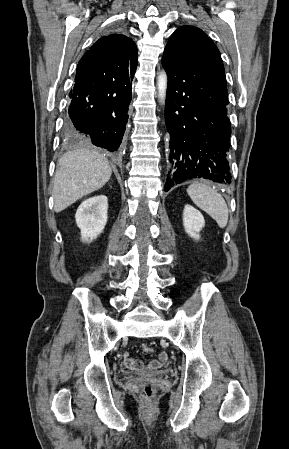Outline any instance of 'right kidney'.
<instances>
[{"instance_id": "1", "label": "right kidney", "mask_w": 289, "mask_h": 449, "mask_svg": "<svg viewBox=\"0 0 289 449\" xmlns=\"http://www.w3.org/2000/svg\"><path fill=\"white\" fill-rule=\"evenodd\" d=\"M107 213L108 199L105 195H97L81 203L75 218L83 242H91L103 232L107 223Z\"/></svg>"}]
</instances>
